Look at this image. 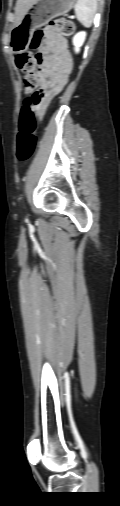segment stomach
<instances>
[{
  "instance_id": "obj_1",
  "label": "stomach",
  "mask_w": 120,
  "mask_h": 506,
  "mask_svg": "<svg viewBox=\"0 0 120 506\" xmlns=\"http://www.w3.org/2000/svg\"><path fill=\"white\" fill-rule=\"evenodd\" d=\"M76 0H37L16 24L11 33L9 46L14 54L25 52L30 45L33 31L49 19L68 13Z\"/></svg>"
}]
</instances>
